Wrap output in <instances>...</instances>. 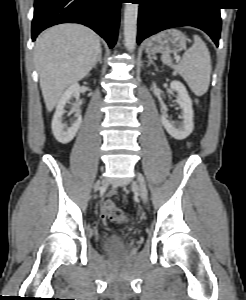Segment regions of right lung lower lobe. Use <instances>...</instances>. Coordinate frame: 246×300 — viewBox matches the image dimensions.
<instances>
[{
  "label": "right lung lower lobe",
  "mask_w": 246,
  "mask_h": 300,
  "mask_svg": "<svg viewBox=\"0 0 246 300\" xmlns=\"http://www.w3.org/2000/svg\"><path fill=\"white\" fill-rule=\"evenodd\" d=\"M122 0H35L32 40L44 29L66 22L86 25L112 48L117 39Z\"/></svg>",
  "instance_id": "98d812e1"
}]
</instances>
